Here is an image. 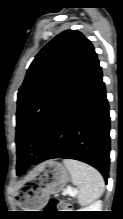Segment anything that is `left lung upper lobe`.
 <instances>
[{
	"label": "left lung upper lobe",
	"mask_w": 123,
	"mask_h": 219,
	"mask_svg": "<svg viewBox=\"0 0 123 219\" xmlns=\"http://www.w3.org/2000/svg\"><path fill=\"white\" fill-rule=\"evenodd\" d=\"M96 59L90 41L76 30L60 33L37 54L18 92L17 175L32 163L28 150L42 147L61 104Z\"/></svg>",
	"instance_id": "5c2ea615"
}]
</instances>
